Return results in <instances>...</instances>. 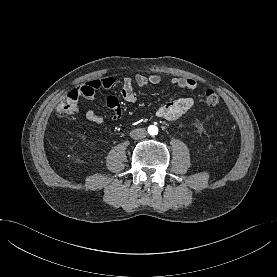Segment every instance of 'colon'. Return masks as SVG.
<instances>
[{
	"instance_id": "colon-1",
	"label": "colon",
	"mask_w": 277,
	"mask_h": 277,
	"mask_svg": "<svg viewBox=\"0 0 277 277\" xmlns=\"http://www.w3.org/2000/svg\"><path fill=\"white\" fill-rule=\"evenodd\" d=\"M80 90H72L69 92L65 97L61 99L59 104L57 105L56 111L61 115H74L78 111V100L81 97ZM205 101L209 106H216L219 103V96L218 94L212 90H206L205 94Z\"/></svg>"
}]
</instances>
